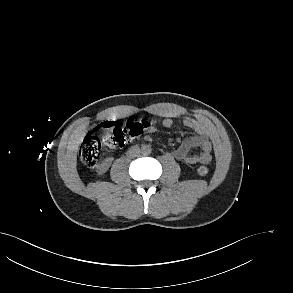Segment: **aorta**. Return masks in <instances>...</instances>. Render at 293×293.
<instances>
[{"mask_svg":"<svg viewBox=\"0 0 293 293\" xmlns=\"http://www.w3.org/2000/svg\"><path fill=\"white\" fill-rule=\"evenodd\" d=\"M152 149L149 145H143L141 148V152L143 155H149L151 153Z\"/></svg>","mask_w":293,"mask_h":293,"instance_id":"762f6f07","label":"aorta"}]
</instances>
